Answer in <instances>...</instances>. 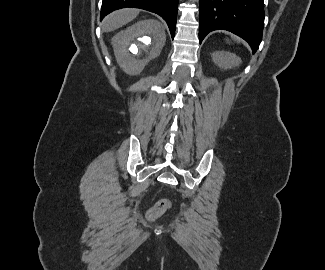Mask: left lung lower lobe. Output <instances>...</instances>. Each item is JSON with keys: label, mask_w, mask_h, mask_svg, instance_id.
<instances>
[{"label": "left lung lower lobe", "mask_w": 325, "mask_h": 270, "mask_svg": "<svg viewBox=\"0 0 325 270\" xmlns=\"http://www.w3.org/2000/svg\"><path fill=\"white\" fill-rule=\"evenodd\" d=\"M199 42L211 31H230L249 43L253 53L262 40L264 0H200Z\"/></svg>", "instance_id": "1"}]
</instances>
